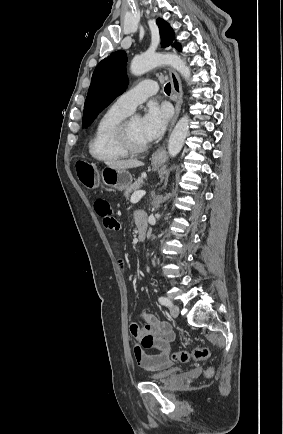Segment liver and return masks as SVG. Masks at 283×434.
Listing matches in <instances>:
<instances>
[{"mask_svg": "<svg viewBox=\"0 0 283 434\" xmlns=\"http://www.w3.org/2000/svg\"><path fill=\"white\" fill-rule=\"evenodd\" d=\"M108 167L114 168V169H131L140 167L143 165V163L137 159H128V160H120V161H108L106 162Z\"/></svg>", "mask_w": 283, "mask_h": 434, "instance_id": "6515ba94", "label": "liver"}]
</instances>
